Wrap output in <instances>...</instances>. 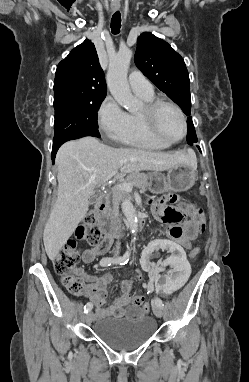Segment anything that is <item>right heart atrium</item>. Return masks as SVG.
<instances>
[{
	"instance_id": "right-heart-atrium-1",
	"label": "right heart atrium",
	"mask_w": 249,
	"mask_h": 382,
	"mask_svg": "<svg viewBox=\"0 0 249 382\" xmlns=\"http://www.w3.org/2000/svg\"><path fill=\"white\" fill-rule=\"evenodd\" d=\"M100 132L112 140H120L128 131L129 119L126 113L112 97L107 96L97 112Z\"/></svg>"
}]
</instances>
